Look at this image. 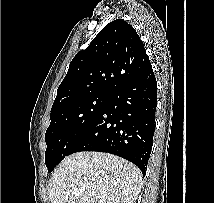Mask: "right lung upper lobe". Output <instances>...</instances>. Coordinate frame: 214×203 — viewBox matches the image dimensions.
I'll list each match as a JSON object with an SVG mask.
<instances>
[{
	"instance_id": "cb5924a9",
	"label": "right lung upper lobe",
	"mask_w": 214,
	"mask_h": 203,
	"mask_svg": "<svg viewBox=\"0 0 214 203\" xmlns=\"http://www.w3.org/2000/svg\"><path fill=\"white\" fill-rule=\"evenodd\" d=\"M151 69L135 29L122 19L110 22L73 58L51 110L90 94H109Z\"/></svg>"
}]
</instances>
